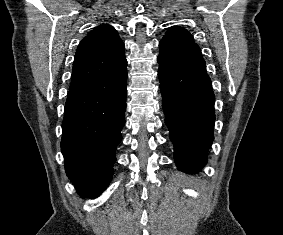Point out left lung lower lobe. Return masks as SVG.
Returning a JSON list of instances; mask_svg holds the SVG:
<instances>
[{"label":"left lung lower lobe","instance_id":"1","mask_svg":"<svg viewBox=\"0 0 283 235\" xmlns=\"http://www.w3.org/2000/svg\"><path fill=\"white\" fill-rule=\"evenodd\" d=\"M165 123L177 167L195 173L205 165L213 141L215 97L206 73L159 63Z\"/></svg>","mask_w":283,"mask_h":235}]
</instances>
